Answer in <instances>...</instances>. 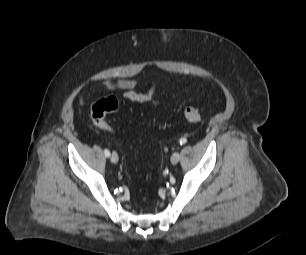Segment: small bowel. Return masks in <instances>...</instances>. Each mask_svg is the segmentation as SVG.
I'll return each instance as SVG.
<instances>
[{"label":"small bowel","instance_id":"small-bowel-1","mask_svg":"<svg viewBox=\"0 0 306 255\" xmlns=\"http://www.w3.org/2000/svg\"><path fill=\"white\" fill-rule=\"evenodd\" d=\"M137 84H138L137 81L133 79L107 81L106 83L109 89L121 90L123 97L131 102L135 103L159 102L156 97L157 89L155 86H152L147 91L138 92L135 90Z\"/></svg>","mask_w":306,"mask_h":255}]
</instances>
